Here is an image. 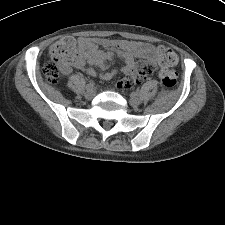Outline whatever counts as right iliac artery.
<instances>
[{
  "label": "right iliac artery",
  "instance_id": "right-iliac-artery-1",
  "mask_svg": "<svg viewBox=\"0 0 225 225\" xmlns=\"http://www.w3.org/2000/svg\"><path fill=\"white\" fill-rule=\"evenodd\" d=\"M94 83L92 81H90L87 85H86V89H90L93 88Z\"/></svg>",
  "mask_w": 225,
  "mask_h": 225
}]
</instances>
